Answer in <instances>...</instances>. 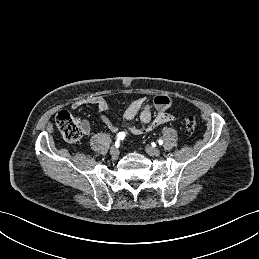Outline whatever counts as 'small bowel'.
<instances>
[{"label": "small bowel", "mask_w": 259, "mask_h": 259, "mask_svg": "<svg viewBox=\"0 0 259 259\" xmlns=\"http://www.w3.org/2000/svg\"><path fill=\"white\" fill-rule=\"evenodd\" d=\"M156 114H152L151 105L147 102L146 97L137 98L126 108L122 117V128L124 130H131L133 133L149 132L157 126L171 122L175 117L167 112L172 104L170 97L166 95H158L153 101ZM85 105H95L100 114V119L104 125L111 131H118V127L113 123L107 115L109 109L108 102L101 96H93L85 99L78 100L71 105V109L76 110ZM139 117V125L132 126L131 122L136 117ZM81 127L84 134L90 132V124L88 120L81 121Z\"/></svg>", "instance_id": "small-bowel-1"}]
</instances>
